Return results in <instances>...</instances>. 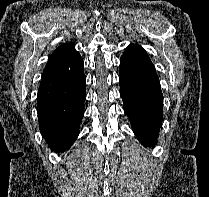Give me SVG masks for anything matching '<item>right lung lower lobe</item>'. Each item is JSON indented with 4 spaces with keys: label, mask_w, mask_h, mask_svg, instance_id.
I'll use <instances>...</instances> for the list:
<instances>
[{
    "label": "right lung lower lobe",
    "mask_w": 209,
    "mask_h": 197,
    "mask_svg": "<svg viewBox=\"0 0 209 197\" xmlns=\"http://www.w3.org/2000/svg\"><path fill=\"white\" fill-rule=\"evenodd\" d=\"M83 69V60L75 50L66 60L42 74L37 113L41 134L51 150H66L79 133L86 97Z\"/></svg>",
    "instance_id": "obj_1"
}]
</instances>
